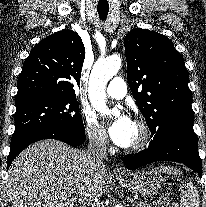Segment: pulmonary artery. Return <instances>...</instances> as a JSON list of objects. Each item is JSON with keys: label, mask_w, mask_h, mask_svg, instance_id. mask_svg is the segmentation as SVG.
I'll return each instance as SVG.
<instances>
[{"label": "pulmonary artery", "mask_w": 206, "mask_h": 207, "mask_svg": "<svg viewBox=\"0 0 206 207\" xmlns=\"http://www.w3.org/2000/svg\"><path fill=\"white\" fill-rule=\"evenodd\" d=\"M127 93V86L121 77H114L106 88V94L115 99L123 98Z\"/></svg>", "instance_id": "1"}]
</instances>
